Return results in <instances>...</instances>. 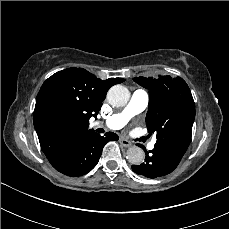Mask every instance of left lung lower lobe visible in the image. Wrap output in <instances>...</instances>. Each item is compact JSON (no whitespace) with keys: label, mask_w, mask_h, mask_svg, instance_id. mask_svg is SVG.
<instances>
[{"label":"left lung lower lobe","mask_w":229,"mask_h":229,"mask_svg":"<svg viewBox=\"0 0 229 229\" xmlns=\"http://www.w3.org/2000/svg\"><path fill=\"white\" fill-rule=\"evenodd\" d=\"M145 153L147 154L145 162L132 166V170L139 175L152 179L158 178L171 173L178 166L169 161L164 152L156 146L149 153L145 150Z\"/></svg>","instance_id":"left-lung-lower-lobe-1"}]
</instances>
